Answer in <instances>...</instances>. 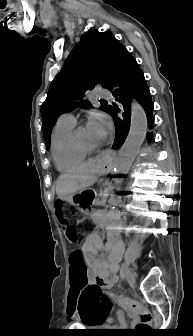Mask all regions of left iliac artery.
<instances>
[{
    "label": "left iliac artery",
    "mask_w": 193,
    "mask_h": 336,
    "mask_svg": "<svg viewBox=\"0 0 193 336\" xmlns=\"http://www.w3.org/2000/svg\"><path fill=\"white\" fill-rule=\"evenodd\" d=\"M120 275H121V277H124V268L123 267L121 268Z\"/></svg>",
    "instance_id": "1"
}]
</instances>
